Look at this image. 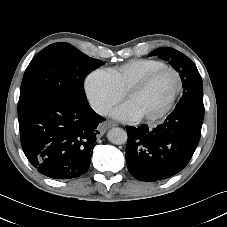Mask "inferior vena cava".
<instances>
[{"instance_id":"obj_1","label":"inferior vena cava","mask_w":227,"mask_h":227,"mask_svg":"<svg viewBox=\"0 0 227 227\" xmlns=\"http://www.w3.org/2000/svg\"><path fill=\"white\" fill-rule=\"evenodd\" d=\"M91 107L96 113L102 116L108 115L110 111V107L106 103L98 100L91 102Z\"/></svg>"}]
</instances>
